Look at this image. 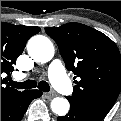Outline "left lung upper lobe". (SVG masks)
<instances>
[{
    "mask_svg": "<svg viewBox=\"0 0 121 121\" xmlns=\"http://www.w3.org/2000/svg\"><path fill=\"white\" fill-rule=\"evenodd\" d=\"M66 68L78 77L69 102L105 117L121 90V56L105 34L80 23L45 28Z\"/></svg>",
    "mask_w": 121,
    "mask_h": 121,
    "instance_id": "5c2ea615",
    "label": "left lung upper lobe"
}]
</instances>
